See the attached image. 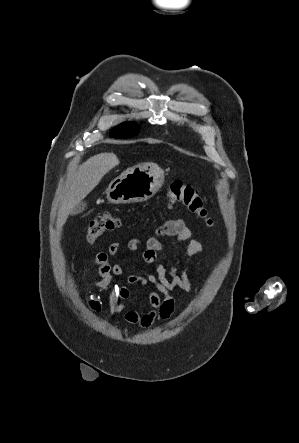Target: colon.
Segmentation results:
<instances>
[{"mask_svg":"<svg viewBox=\"0 0 299 443\" xmlns=\"http://www.w3.org/2000/svg\"><path fill=\"white\" fill-rule=\"evenodd\" d=\"M167 197L170 204L177 202L184 204L192 213L199 217L207 227H214L213 218L209 214L197 188L192 184L182 180L173 181L170 184ZM119 225L120 221L114 214L104 212L96 216L88 225L86 229V240L88 243H93L105 232L113 230Z\"/></svg>","mask_w":299,"mask_h":443,"instance_id":"1","label":"colon"}]
</instances>
